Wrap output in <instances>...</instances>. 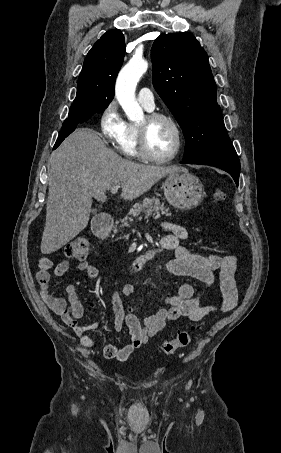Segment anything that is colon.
I'll use <instances>...</instances> for the list:
<instances>
[{
  "instance_id": "colon-1",
  "label": "colon",
  "mask_w": 281,
  "mask_h": 453,
  "mask_svg": "<svg viewBox=\"0 0 281 453\" xmlns=\"http://www.w3.org/2000/svg\"><path fill=\"white\" fill-rule=\"evenodd\" d=\"M225 199V192L222 189L215 190L210 194V202L214 205L223 204ZM89 245L88 241L84 238H75L69 242L65 247V256L70 260L86 261L88 258ZM194 334L182 332L177 337L166 342L162 346L164 355L171 356L177 350L187 348L193 341Z\"/></svg>"
}]
</instances>
